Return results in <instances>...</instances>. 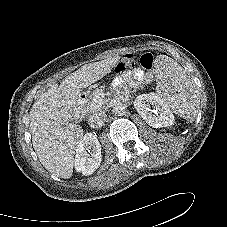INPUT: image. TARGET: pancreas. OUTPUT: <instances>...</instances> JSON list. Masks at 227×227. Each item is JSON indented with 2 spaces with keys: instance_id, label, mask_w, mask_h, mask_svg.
<instances>
[{
  "instance_id": "1",
  "label": "pancreas",
  "mask_w": 227,
  "mask_h": 227,
  "mask_svg": "<svg viewBox=\"0 0 227 227\" xmlns=\"http://www.w3.org/2000/svg\"><path fill=\"white\" fill-rule=\"evenodd\" d=\"M103 91L102 89H96L92 91L88 96V101L84 106V111L87 113H93L95 111H98L102 105H103V99L102 101H98L97 97L102 98Z\"/></svg>"
}]
</instances>
